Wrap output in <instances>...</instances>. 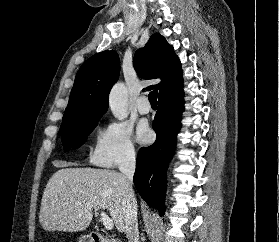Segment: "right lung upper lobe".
Listing matches in <instances>:
<instances>
[{
	"label": "right lung upper lobe",
	"mask_w": 279,
	"mask_h": 242,
	"mask_svg": "<svg viewBox=\"0 0 279 242\" xmlns=\"http://www.w3.org/2000/svg\"><path fill=\"white\" fill-rule=\"evenodd\" d=\"M134 68L145 79L161 78L157 85L162 98L182 87L181 64L173 47L156 33L144 48L136 51ZM120 72L118 54L103 51L90 57L79 69L72 88L62 125L77 124L91 117H101L108 109V95Z\"/></svg>",
	"instance_id": "cb5924a9"
}]
</instances>
